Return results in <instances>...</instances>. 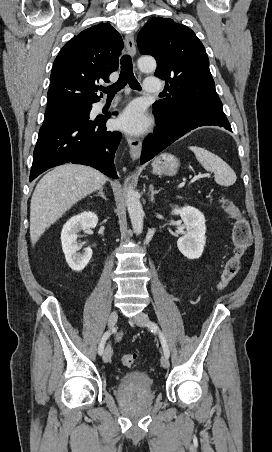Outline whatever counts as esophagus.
I'll list each match as a JSON object with an SVG mask.
<instances>
[{
  "mask_svg": "<svg viewBox=\"0 0 272 452\" xmlns=\"http://www.w3.org/2000/svg\"><path fill=\"white\" fill-rule=\"evenodd\" d=\"M125 46L128 51V53L131 56H135L136 54V48H135V41L134 36L131 33L126 34L125 36ZM127 143L130 147V155L132 159L136 160L140 157L141 154V148H142V142L140 139L135 137H126Z\"/></svg>",
  "mask_w": 272,
  "mask_h": 452,
  "instance_id": "34e87169",
  "label": "esophagus"
}]
</instances>
